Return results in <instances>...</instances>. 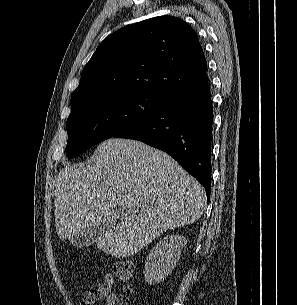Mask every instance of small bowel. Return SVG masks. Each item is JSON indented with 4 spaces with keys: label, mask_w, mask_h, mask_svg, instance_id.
Listing matches in <instances>:
<instances>
[{
    "label": "small bowel",
    "mask_w": 297,
    "mask_h": 305,
    "mask_svg": "<svg viewBox=\"0 0 297 305\" xmlns=\"http://www.w3.org/2000/svg\"><path fill=\"white\" fill-rule=\"evenodd\" d=\"M114 280L112 276L107 275L101 284L88 289L80 305H95L98 301L105 299L102 305H117L118 293L112 291Z\"/></svg>",
    "instance_id": "1"
}]
</instances>
